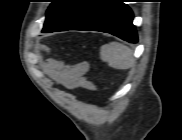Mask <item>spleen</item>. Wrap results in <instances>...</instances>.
Returning a JSON list of instances; mask_svg holds the SVG:
<instances>
[{
    "label": "spleen",
    "mask_w": 182,
    "mask_h": 140,
    "mask_svg": "<svg viewBox=\"0 0 182 140\" xmlns=\"http://www.w3.org/2000/svg\"><path fill=\"white\" fill-rule=\"evenodd\" d=\"M100 54L101 59L114 69H128L135 63L132 50L118 42L103 45Z\"/></svg>",
    "instance_id": "spleen-1"
}]
</instances>
